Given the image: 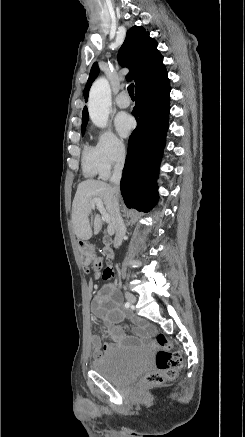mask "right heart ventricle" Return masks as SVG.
Returning a JSON list of instances; mask_svg holds the SVG:
<instances>
[{
	"instance_id": "e07e8e85",
	"label": "right heart ventricle",
	"mask_w": 245,
	"mask_h": 437,
	"mask_svg": "<svg viewBox=\"0 0 245 437\" xmlns=\"http://www.w3.org/2000/svg\"><path fill=\"white\" fill-rule=\"evenodd\" d=\"M83 171L88 176H94L99 173L98 164L95 158L94 148L85 145L82 155Z\"/></svg>"
}]
</instances>
